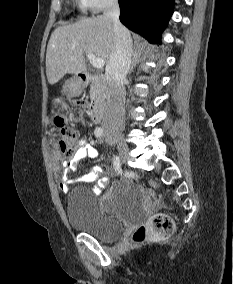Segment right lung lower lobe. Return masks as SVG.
I'll return each mask as SVG.
<instances>
[{
    "label": "right lung lower lobe",
    "mask_w": 233,
    "mask_h": 284,
    "mask_svg": "<svg viewBox=\"0 0 233 284\" xmlns=\"http://www.w3.org/2000/svg\"><path fill=\"white\" fill-rule=\"evenodd\" d=\"M173 5L174 0H119L120 21L149 42L159 43Z\"/></svg>",
    "instance_id": "right-lung-lower-lobe-1"
}]
</instances>
